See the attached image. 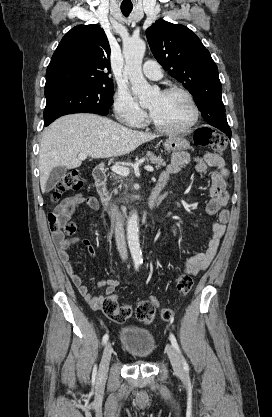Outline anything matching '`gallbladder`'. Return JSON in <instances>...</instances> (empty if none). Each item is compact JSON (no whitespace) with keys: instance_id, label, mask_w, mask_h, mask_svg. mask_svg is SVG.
Wrapping results in <instances>:
<instances>
[{"instance_id":"obj_1","label":"gallbladder","mask_w":272,"mask_h":417,"mask_svg":"<svg viewBox=\"0 0 272 417\" xmlns=\"http://www.w3.org/2000/svg\"><path fill=\"white\" fill-rule=\"evenodd\" d=\"M67 173V168L62 167V166H57L55 168H53V170L51 171L49 178L46 182V191L49 192L52 189L55 188L56 184L65 177Z\"/></svg>"}]
</instances>
